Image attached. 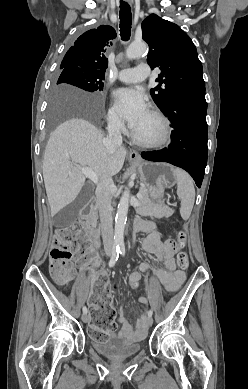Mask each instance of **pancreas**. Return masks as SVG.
<instances>
[{
    "label": "pancreas",
    "instance_id": "pancreas-1",
    "mask_svg": "<svg viewBox=\"0 0 248 389\" xmlns=\"http://www.w3.org/2000/svg\"><path fill=\"white\" fill-rule=\"evenodd\" d=\"M141 198L139 201L141 203V207L137 208V211L146 215L149 213L162 214V215H172L174 210L169 208V206L164 205L162 201H158L156 204L150 199L149 193L145 186L140 188Z\"/></svg>",
    "mask_w": 248,
    "mask_h": 389
}]
</instances>
